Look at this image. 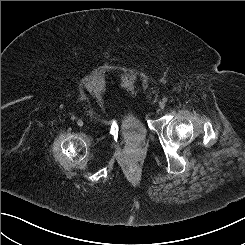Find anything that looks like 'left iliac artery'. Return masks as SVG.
<instances>
[{"instance_id": "left-iliac-artery-1", "label": "left iliac artery", "mask_w": 245, "mask_h": 245, "mask_svg": "<svg viewBox=\"0 0 245 245\" xmlns=\"http://www.w3.org/2000/svg\"><path fill=\"white\" fill-rule=\"evenodd\" d=\"M163 101H164V102H167V98H163Z\"/></svg>"}]
</instances>
